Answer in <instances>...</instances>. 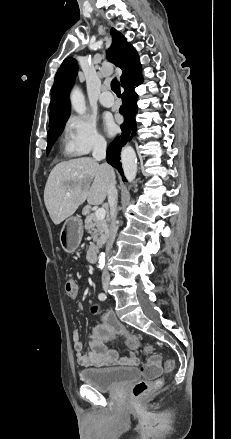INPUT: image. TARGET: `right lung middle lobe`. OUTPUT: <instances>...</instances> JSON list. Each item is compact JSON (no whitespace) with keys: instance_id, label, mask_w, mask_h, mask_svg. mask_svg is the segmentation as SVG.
Wrapping results in <instances>:
<instances>
[{"instance_id":"obj_1","label":"right lung middle lobe","mask_w":231,"mask_h":439,"mask_svg":"<svg viewBox=\"0 0 231 439\" xmlns=\"http://www.w3.org/2000/svg\"><path fill=\"white\" fill-rule=\"evenodd\" d=\"M66 121L67 120H64L60 124L53 126V127H50L48 134H47V137H48L47 153L50 151V149H51L52 145L54 144V142L56 141L58 135H60L62 133Z\"/></svg>"}]
</instances>
